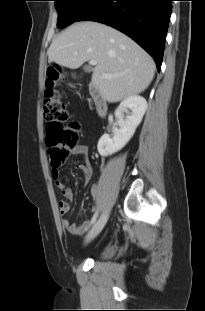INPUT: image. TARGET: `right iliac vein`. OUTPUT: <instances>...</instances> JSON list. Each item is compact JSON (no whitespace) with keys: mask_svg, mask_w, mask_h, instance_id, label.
<instances>
[{"mask_svg":"<svg viewBox=\"0 0 205 311\" xmlns=\"http://www.w3.org/2000/svg\"><path fill=\"white\" fill-rule=\"evenodd\" d=\"M108 218H109V210H105L101 214L99 219L96 221V223L94 224L91 232L89 233V235L87 237L86 242H90L91 240H93L102 231V229L104 228Z\"/></svg>","mask_w":205,"mask_h":311,"instance_id":"1","label":"right iliac vein"}]
</instances>
